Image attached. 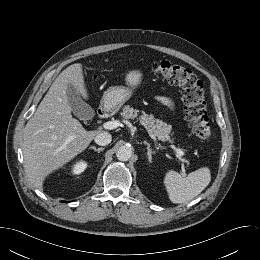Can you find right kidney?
I'll list each match as a JSON object with an SVG mask.
<instances>
[{
  "label": "right kidney",
  "mask_w": 260,
  "mask_h": 260,
  "mask_svg": "<svg viewBox=\"0 0 260 260\" xmlns=\"http://www.w3.org/2000/svg\"><path fill=\"white\" fill-rule=\"evenodd\" d=\"M87 168V163L85 161H78L76 162L72 168L71 172L72 174L79 175Z\"/></svg>",
  "instance_id": "ca27d5eb"
}]
</instances>
